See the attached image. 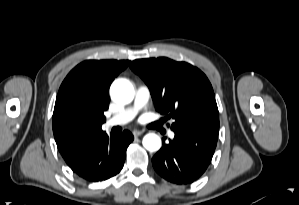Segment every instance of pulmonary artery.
<instances>
[{
    "mask_svg": "<svg viewBox=\"0 0 299 205\" xmlns=\"http://www.w3.org/2000/svg\"><path fill=\"white\" fill-rule=\"evenodd\" d=\"M150 99V90L147 86H139L135 92V98L132 106L122 110L106 121L107 127L121 126L132 121L137 113L146 106ZM173 136V133H170Z\"/></svg>",
    "mask_w": 299,
    "mask_h": 205,
    "instance_id": "obj_1",
    "label": "pulmonary artery"
}]
</instances>
